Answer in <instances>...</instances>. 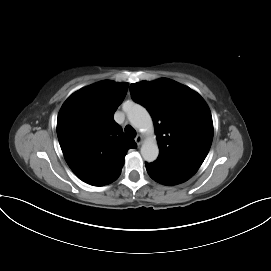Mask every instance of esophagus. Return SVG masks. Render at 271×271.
Returning a JSON list of instances; mask_svg holds the SVG:
<instances>
[{
    "label": "esophagus",
    "instance_id": "obj_1",
    "mask_svg": "<svg viewBox=\"0 0 271 271\" xmlns=\"http://www.w3.org/2000/svg\"><path fill=\"white\" fill-rule=\"evenodd\" d=\"M135 142L138 146L141 145V143L143 142V137L141 135H137L135 137Z\"/></svg>",
    "mask_w": 271,
    "mask_h": 271
}]
</instances>
